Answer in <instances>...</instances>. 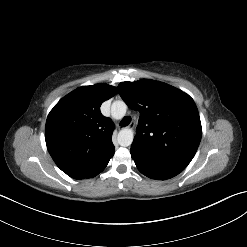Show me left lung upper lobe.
<instances>
[{
	"mask_svg": "<svg viewBox=\"0 0 247 247\" xmlns=\"http://www.w3.org/2000/svg\"><path fill=\"white\" fill-rule=\"evenodd\" d=\"M118 92L129 108L140 112L131 148L183 171L202 136L199 113L185 92L160 81L122 82Z\"/></svg>",
	"mask_w": 247,
	"mask_h": 247,
	"instance_id": "left-lung-upper-lobe-1",
	"label": "left lung upper lobe"
}]
</instances>
